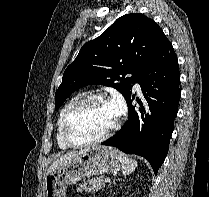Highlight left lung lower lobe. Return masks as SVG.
Here are the masks:
<instances>
[{
    "label": "left lung lower lobe",
    "mask_w": 209,
    "mask_h": 197,
    "mask_svg": "<svg viewBox=\"0 0 209 197\" xmlns=\"http://www.w3.org/2000/svg\"><path fill=\"white\" fill-rule=\"evenodd\" d=\"M136 82L144 94V104L139 101L140 107L136 109L132 105L134 95L130 93L126 98L128 121L116 135L101 144L146 158L157 174L168 153L181 96L178 60L168 39Z\"/></svg>",
    "instance_id": "1"
}]
</instances>
